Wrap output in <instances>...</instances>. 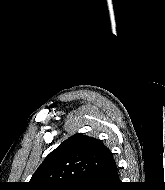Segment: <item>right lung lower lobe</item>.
Wrapping results in <instances>:
<instances>
[{"mask_svg":"<svg viewBox=\"0 0 165 190\" xmlns=\"http://www.w3.org/2000/svg\"><path fill=\"white\" fill-rule=\"evenodd\" d=\"M123 183L119 181V175L115 161L109 162L91 170L81 180L80 190H122Z\"/></svg>","mask_w":165,"mask_h":190,"instance_id":"right-lung-lower-lobe-1","label":"right lung lower lobe"}]
</instances>
